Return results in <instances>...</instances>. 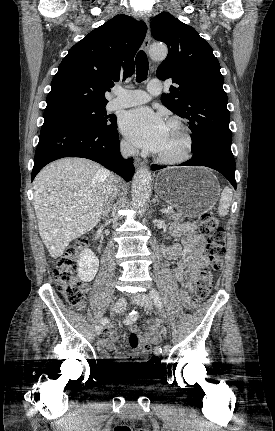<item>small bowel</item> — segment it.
<instances>
[{
    "instance_id": "c3829d8e",
    "label": "small bowel",
    "mask_w": 275,
    "mask_h": 431,
    "mask_svg": "<svg viewBox=\"0 0 275 431\" xmlns=\"http://www.w3.org/2000/svg\"><path fill=\"white\" fill-rule=\"evenodd\" d=\"M171 232L176 237L182 238V243H175L170 246L162 247V254L167 260H177L178 262L172 270V276L181 283L179 297L182 304L186 308L193 305L191 293L194 290V283L198 279L201 269L207 264V259L204 255L205 238L197 229L194 223L175 224L171 228ZM145 332H140V341L144 344L158 343L163 334L164 329L159 321H148L144 325ZM118 333L112 330L104 334L98 341V349L100 353L107 354L114 352L119 356L116 342ZM146 352L140 351L141 355Z\"/></svg>"
}]
</instances>
